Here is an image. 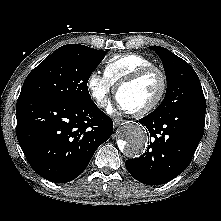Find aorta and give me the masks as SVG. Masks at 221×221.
I'll return each mask as SVG.
<instances>
[{
  "label": "aorta",
  "instance_id": "aorta-1",
  "mask_svg": "<svg viewBox=\"0 0 221 221\" xmlns=\"http://www.w3.org/2000/svg\"><path fill=\"white\" fill-rule=\"evenodd\" d=\"M124 140L120 144L121 151L128 157L141 156L148 143V134L139 124H126L123 127Z\"/></svg>",
  "mask_w": 221,
  "mask_h": 221
}]
</instances>
